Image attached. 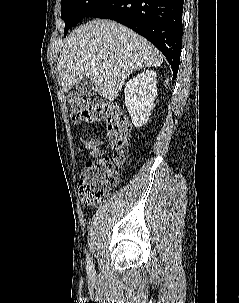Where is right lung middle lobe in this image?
Instances as JSON below:
<instances>
[{
	"instance_id": "right-lung-middle-lobe-1",
	"label": "right lung middle lobe",
	"mask_w": 239,
	"mask_h": 303,
	"mask_svg": "<svg viewBox=\"0 0 239 303\" xmlns=\"http://www.w3.org/2000/svg\"><path fill=\"white\" fill-rule=\"evenodd\" d=\"M106 0H62L61 18L65 22L64 36L68 30L101 6Z\"/></svg>"
}]
</instances>
